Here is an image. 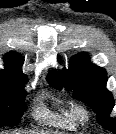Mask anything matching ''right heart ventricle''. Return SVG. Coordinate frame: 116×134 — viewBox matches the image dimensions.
Masks as SVG:
<instances>
[{"mask_svg": "<svg viewBox=\"0 0 116 134\" xmlns=\"http://www.w3.org/2000/svg\"><path fill=\"white\" fill-rule=\"evenodd\" d=\"M36 118L57 128L75 130L77 123L69 111L59 102H46L43 99L35 110Z\"/></svg>", "mask_w": 116, "mask_h": 134, "instance_id": "e07e8e85", "label": "right heart ventricle"}]
</instances>
